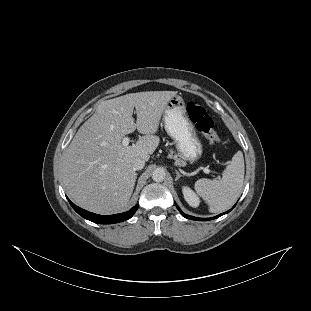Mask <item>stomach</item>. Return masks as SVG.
<instances>
[{"instance_id": "stomach-1", "label": "stomach", "mask_w": 311, "mask_h": 311, "mask_svg": "<svg viewBox=\"0 0 311 311\" xmlns=\"http://www.w3.org/2000/svg\"><path fill=\"white\" fill-rule=\"evenodd\" d=\"M162 121L180 157L190 163L198 161L202 156L203 146L187 114L182 96L175 95L168 101Z\"/></svg>"}]
</instances>
